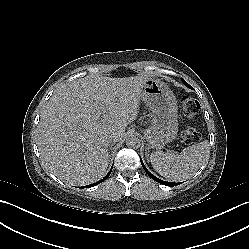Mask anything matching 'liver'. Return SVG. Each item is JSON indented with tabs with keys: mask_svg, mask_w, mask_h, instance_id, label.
<instances>
[{
	"mask_svg": "<svg viewBox=\"0 0 249 249\" xmlns=\"http://www.w3.org/2000/svg\"><path fill=\"white\" fill-rule=\"evenodd\" d=\"M148 78L82 80L57 93L44 109L37 145L44 164L80 184L101 179L110 162L109 137L121 138L139 112Z\"/></svg>",
	"mask_w": 249,
	"mask_h": 249,
	"instance_id": "6515ba94",
	"label": "liver"
}]
</instances>
